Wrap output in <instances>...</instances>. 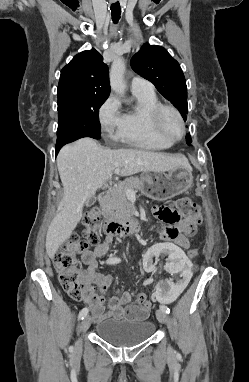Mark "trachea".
Listing matches in <instances>:
<instances>
[{"mask_svg":"<svg viewBox=\"0 0 249 382\" xmlns=\"http://www.w3.org/2000/svg\"><path fill=\"white\" fill-rule=\"evenodd\" d=\"M121 15V9L119 3H114L111 5V16L114 23H118Z\"/></svg>","mask_w":249,"mask_h":382,"instance_id":"1","label":"trachea"}]
</instances>
